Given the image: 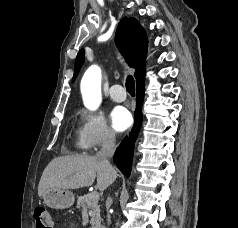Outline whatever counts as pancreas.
Listing matches in <instances>:
<instances>
[{
	"label": "pancreas",
	"mask_w": 238,
	"mask_h": 228,
	"mask_svg": "<svg viewBox=\"0 0 238 228\" xmlns=\"http://www.w3.org/2000/svg\"><path fill=\"white\" fill-rule=\"evenodd\" d=\"M77 208L81 210H86L91 218L90 228H101V216L100 207L98 205V200H92L89 194L80 196L77 199Z\"/></svg>",
	"instance_id": "1"
}]
</instances>
